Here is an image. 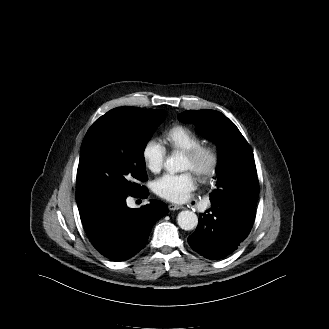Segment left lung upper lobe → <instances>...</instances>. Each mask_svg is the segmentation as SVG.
Wrapping results in <instances>:
<instances>
[{
	"label": "left lung upper lobe",
	"instance_id": "1",
	"mask_svg": "<svg viewBox=\"0 0 329 329\" xmlns=\"http://www.w3.org/2000/svg\"><path fill=\"white\" fill-rule=\"evenodd\" d=\"M179 121L193 123L218 146L216 188L210 201L225 199L232 189L255 169L252 149L235 124L215 110H187L179 114Z\"/></svg>",
	"mask_w": 329,
	"mask_h": 329
}]
</instances>
